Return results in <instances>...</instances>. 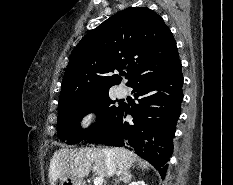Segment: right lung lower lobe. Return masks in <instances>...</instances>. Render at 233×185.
I'll list each match as a JSON object with an SVG mask.
<instances>
[{
  "label": "right lung lower lobe",
  "instance_id": "98d812e1",
  "mask_svg": "<svg viewBox=\"0 0 233 185\" xmlns=\"http://www.w3.org/2000/svg\"><path fill=\"white\" fill-rule=\"evenodd\" d=\"M130 87L138 103H122L109 122L91 138V143L132 146L164 178L173 151V137L183 101V74L178 58L139 76ZM131 115L129 121L124 118Z\"/></svg>",
  "mask_w": 233,
  "mask_h": 185
}]
</instances>
